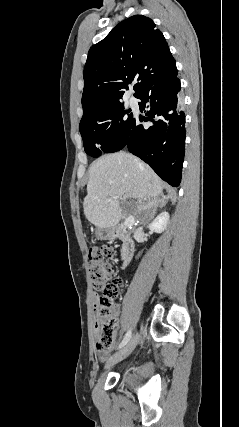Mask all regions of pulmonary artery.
Returning <instances> with one entry per match:
<instances>
[{
  "mask_svg": "<svg viewBox=\"0 0 239 427\" xmlns=\"http://www.w3.org/2000/svg\"><path fill=\"white\" fill-rule=\"evenodd\" d=\"M130 102H131V103H134V100H133V99H131V100H130Z\"/></svg>",
  "mask_w": 239,
  "mask_h": 427,
  "instance_id": "1",
  "label": "pulmonary artery"
}]
</instances>
